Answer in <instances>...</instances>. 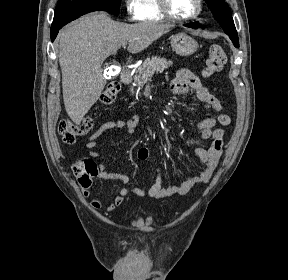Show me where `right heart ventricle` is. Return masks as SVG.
<instances>
[{
  "mask_svg": "<svg viewBox=\"0 0 288 280\" xmlns=\"http://www.w3.org/2000/svg\"><path fill=\"white\" fill-rule=\"evenodd\" d=\"M139 20L143 22H162L165 17L160 12L157 0H140Z\"/></svg>",
  "mask_w": 288,
  "mask_h": 280,
  "instance_id": "right-heart-ventricle-1",
  "label": "right heart ventricle"
}]
</instances>
